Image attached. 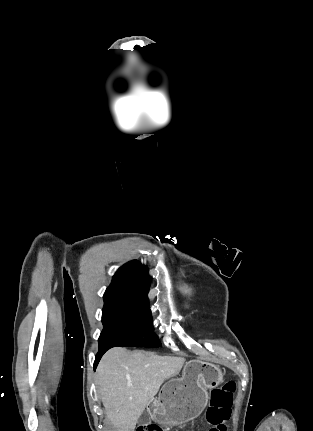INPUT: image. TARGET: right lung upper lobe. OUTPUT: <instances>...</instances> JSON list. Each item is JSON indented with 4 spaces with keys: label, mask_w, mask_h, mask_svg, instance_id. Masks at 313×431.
<instances>
[{
    "label": "right lung upper lobe",
    "mask_w": 313,
    "mask_h": 431,
    "mask_svg": "<svg viewBox=\"0 0 313 431\" xmlns=\"http://www.w3.org/2000/svg\"><path fill=\"white\" fill-rule=\"evenodd\" d=\"M150 276L142 264L133 260L122 266L113 276L104 296H118L148 302Z\"/></svg>",
    "instance_id": "obj_1"
}]
</instances>
